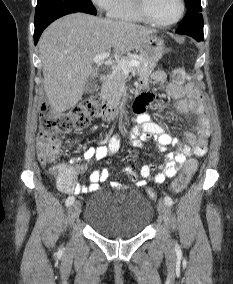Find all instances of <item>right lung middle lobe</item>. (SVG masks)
Masks as SVG:
<instances>
[{"label":"right lung middle lobe","instance_id":"1","mask_svg":"<svg viewBox=\"0 0 233 284\" xmlns=\"http://www.w3.org/2000/svg\"><path fill=\"white\" fill-rule=\"evenodd\" d=\"M74 12L97 14L91 0H38L35 24L58 14Z\"/></svg>","mask_w":233,"mask_h":284}]
</instances>
